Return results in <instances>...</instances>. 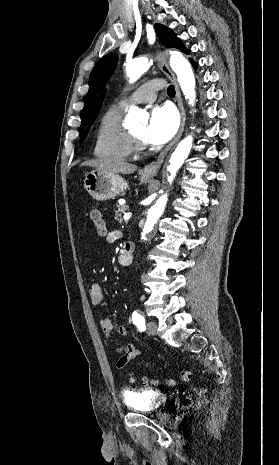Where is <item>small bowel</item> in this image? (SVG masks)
Wrapping results in <instances>:
<instances>
[{
  "label": "small bowel",
  "instance_id": "1",
  "mask_svg": "<svg viewBox=\"0 0 279 465\" xmlns=\"http://www.w3.org/2000/svg\"><path fill=\"white\" fill-rule=\"evenodd\" d=\"M119 237L118 232H111L107 235L108 242H113ZM89 298L93 305H99L103 301V291L98 284H93L89 289ZM100 327L105 337H110L114 325L111 319L102 318L100 320ZM118 333L121 336L127 335V328L120 326L118 328ZM141 354V350L138 349L134 343H127L123 349L119 350V358L117 360V368L123 369L132 361H134Z\"/></svg>",
  "mask_w": 279,
  "mask_h": 465
}]
</instances>
